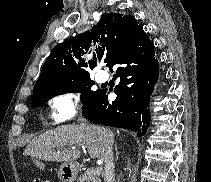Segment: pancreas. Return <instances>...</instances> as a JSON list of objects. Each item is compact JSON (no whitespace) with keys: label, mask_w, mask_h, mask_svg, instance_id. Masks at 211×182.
Masks as SVG:
<instances>
[{"label":"pancreas","mask_w":211,"mask_h":182,"mask_svg":"<svg viewBox=\"0 0 211 182\" xmlns=\"http://www.w3.org/2000/svg\"><path fill=\"white\" fill-rule=\"evenodd\" d=\"M100 173L96 172V169H87L82 173L77 182H101Z\"/></svg>","instance_id":"pancreas-1"}]
</instances>
